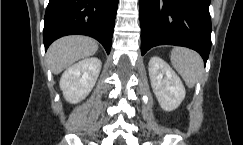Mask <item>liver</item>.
<instances>
[{"mask_svg": "<svg viewBox=\"0 0 243 145\" xmlns=\"http://www.w3.org/2000/svg\"><path fill=\"white\" fill-rule=\"evenodd\" d=\"M98 50L97 42L84 36H67L55 41L47 51V59L54 74Z\"/></svg>", "mask_w": 243, "mask_h": 145, "instance_id": "obj_1", "label": "liver"}]
</instances>
